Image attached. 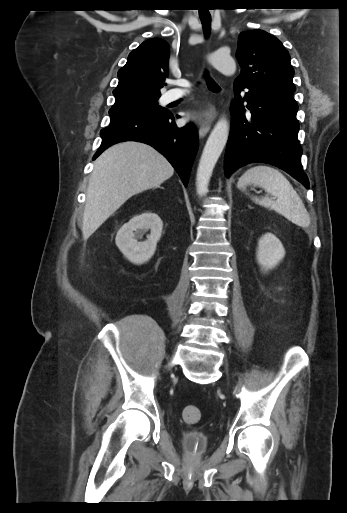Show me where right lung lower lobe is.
Wrapping results in <instances>:
<instances>
[{
	"label": "right lung lower lobe",
	"mask_w": 347,
	"mask_h": 513,
	"mask_svg": "<svg viewBox=\"0 0 347 513\" xmlns=\"http://www.w3.org/2000/svg\"><path fill=\"white\" fill-rule=\"evenodd\" d=\"M100 134L102 143L93 159L115 143L143 142L163 154L187 186L198 150V135L193 124L178 128L168 111L159 115L136 114L111 119Z\"/></svg>",
	"instance_id": "98d812e1"
}]
</instances>
